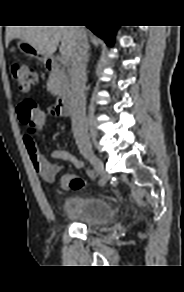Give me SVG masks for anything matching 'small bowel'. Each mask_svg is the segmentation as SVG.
<instances>
[{
	"label": "small bowel",
	"instance_id": "c3829d8e",
	"mask_svg": "<svg viewBox=\"0 0 184 292\" xmlns=\"http://www.w3.org/2000/svg\"><path fill=\"white\" fill-rule=\"evenodd\" d=\"M23 142L29 154L30 161L34 171L46 182L52 183L56 180L58 173L62 170L60 164L53 163L51 160L45 158L38 148V145L32 134L26 133L23 136ZM51 159H58L61 161L70 162L77 169L83 167V163L76 156L67 150L56 149L50 154ZM64 176L60 180V186L64 189L68 188L66 178Z\"/></svg>",
	"mask_w": 184,
	"mask_h": 292
}]
</instances>
